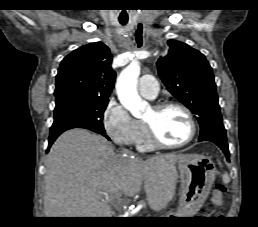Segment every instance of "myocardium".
<instances>
[{
    "label": "myocardium",
    "mask_w": 258,
    "mask_h": 227,
    "mask_svg": "<svg viewBox=\"0 0 258 227\" xmlns=\"http://www.w3.org/2000/svg\"><path fill=\"white\" fill-rule=\"evenodd\" d=\"M170 107L178 108V109L182 110L185 113V115L188 118L189 124H190V133H189L188 137L185 140L181 141V142H178V143H167V142L163 141L158 136V134L155 131L154 127L150 123H148L147 121H144L146 129H147V132H148V135H149V138H150L152 144L154 146H156V147H159V148L172 149V148L183 147V146L189 144L195 138L196 133H197V124H196V120H195V118L193 116V113L184 104L179 103V102H175V101H164V102L155 104L152 108L155 111L160 112V111H163V110H165L167 108H170Z\"/></svg>",
    "instance_id": "obj_1"
}]
</instances>
